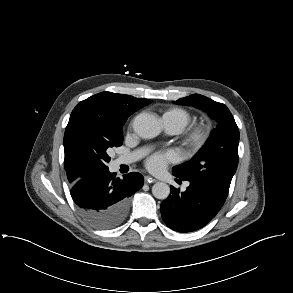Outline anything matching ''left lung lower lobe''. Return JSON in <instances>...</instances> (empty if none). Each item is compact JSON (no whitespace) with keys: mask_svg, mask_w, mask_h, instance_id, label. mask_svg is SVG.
I'll use <instances>...</instances> for the list:
<instances>
[{"mask_svg":"<svg viewBox=\"0 0 293 293\" xmlns=\"http://www.w3.org/2000/svg\"><path fill=\"white\" fill-rule=\"evenodd\" d=\"M174 176L178 178L176 181H189V186L184 192L171 186L170 195L161 203L162 218L174 231H196L216 216L224 205L228 191L208 182Z\"/></svg>","mask_w":293,"mask_h":293,"instance_id":"1","label":"left lung lower lobe"}]
</instances>
